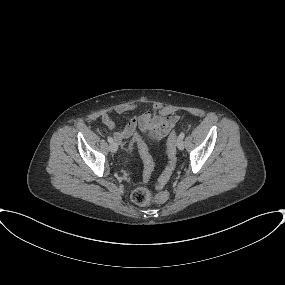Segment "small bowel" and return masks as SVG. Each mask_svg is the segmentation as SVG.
<instances>
[{"mask_svg":"<svg viewBox=\"0 0 285 285\" xmlns=\"http://www.w3.org/2000/svg\"><path fill=\"white\" fill-rule=\"evenodd\" d=\"M136 108L137 105L135 104H119L114 107L113 112L123 114ZM101 121L107 128L115 129L114 139L116 142L120 143L126 138H132L134 142H138V129L143 133H148L152 138L160 140L175 127L178 116L160 115L155 106L149 105V110L132 117L123 128L117 127L115 120L109 113L102 114Z\"/></svg>","mask_w":285,"mask_h":285,"instance_id":"1","label":"small bowel"}]
</instances>
